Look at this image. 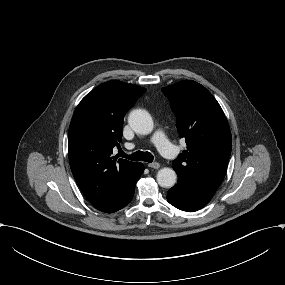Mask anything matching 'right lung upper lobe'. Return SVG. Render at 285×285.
<instances>
[{
	"mask_svg": "<svg viewBox=\"0 0 285 285\" xmlns=\"http://www.w3.org/2000/svg\"><path fill=\"white\" fill-rule=\"evenodd\" d=\"M145 88L111 80L97 86L77 106L69 127L71 171L90 203L107 211L120 199L142 163L113 157L120 147L126 111Z\"/></svg>",
	"mask_w": 285,
	"mask_h": 285,
	"instance_id": "obj_1",
	"label": "right lung upper lobe"
}]
</instances>
